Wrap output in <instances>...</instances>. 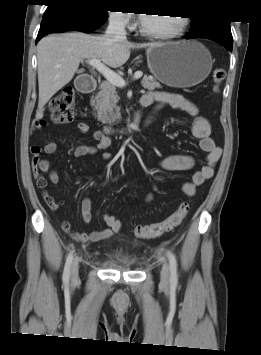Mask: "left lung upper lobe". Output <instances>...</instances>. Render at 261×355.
Wrapping results in <instances>:
<instances>
[{"mask_svg":"<svg viewBox=\"0 0 261 355\" xmlns=\"http://www.w3.org/2000/svg\"><path fill=\"white\" fill-rule=\"evenodd\" d=\"M191 36H198L209 32L231 33L230 21L219 19L191 18Z\"/></svg>","mask_w":261,"mask_h":355,"instance_id":"5c2ea615","label":"left lung upper lobe"}]
</instances>
